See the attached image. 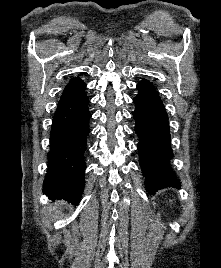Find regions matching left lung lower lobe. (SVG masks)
Instances as JSON below:
<instances>
[{
    "instance_id": "obj_1",
    "label": "left lung lower lobe",
    "mask_w": 221,
    "mask_h": 268,
    "mask_svg": "<svg viewBox=\"0 0 221 268\" xmlns=\"http://www.w3.org/2000/svg\"><path fill=\"white\" fill-rule=\"evenodd\" d=\"M135 104V132L139 136L140 165L150 194L178 187L179 181L170 167L173 150L170 143L168 116L153 85L142 80L138 85Z\"/></svg>"
}]
</instances>
